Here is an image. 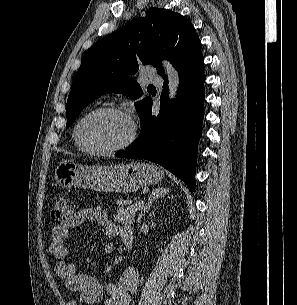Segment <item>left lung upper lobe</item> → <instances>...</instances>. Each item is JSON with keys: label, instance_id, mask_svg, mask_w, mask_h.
<instances>
[{"label": "left lung upper lobe", "instance_id": "5c2ea615", "mask_svg": "<svg viewBox=\"0 0 297 305\" xmlns=\"http://www.w3.org/2000/svg\"><path fill=\"white\" fill-rule=\"evenodd\" d=\"M163 58L177 70L183 66L204 69L201 41L193 25L179 13L166 9L151 8L146 17L134 19L100 39L86 51L73 80L66 127L73 124L84 107L105 93L141 97L140 85L126 76L137 72L139 64H152L165 77ZM149 100L146 97L135 103L140 114Z\"/></svg>", "mask_w": 297, "mask_h": 305}]
</instances>
